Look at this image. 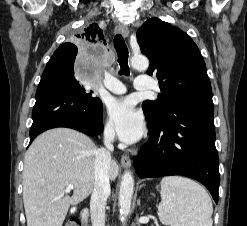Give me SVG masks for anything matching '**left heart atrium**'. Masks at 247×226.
<instances>
[{
  "instance_id": "left-heart-atrium-1",
  "label": "left heart atrium",
  "mask_w": 247,
  "mask_h": 226,
  "mask_svg": "<svg viewBox=\"0 0 247 226\" xmlns=\"http://www.w3.org/2000/svg\"><path fill=\"white\" fill-rule=\"evenodd\" d=\"M107 109L115 130L123 142L130 144L141 138L145 123L132 99L113 98L108 102Z\"/></svg>"
}]
</instances>
